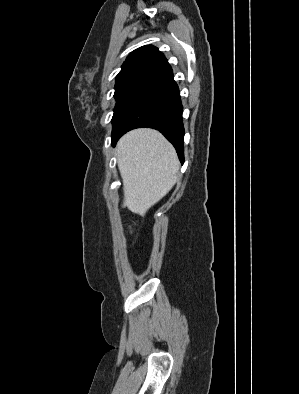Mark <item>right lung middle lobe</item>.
<instances>
[{
  "mask_svg": "<svg viewBox=\"0 0 299 394\" xmlns=\"http://www.w3.org/2000/svg\"><path fill=\"white\" fill-rule=\"evenodd\" d=\"M148 88L142 86H123L115 88L114 97L116 98V105L112 117L113 129L117 126L126 110L147 90Z\"/></svg>",
  "mask_w": 299,
  "mask_h": 394,
  "instance_id": "1",
  "label": "right lung middle lobe"
}]
</instances>
